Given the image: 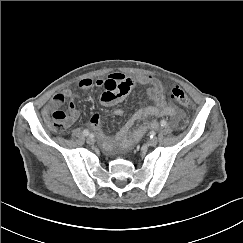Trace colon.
Masks as SVG:
<instances>
[{
	"label": "colon",
	"mask_w": 243,
	"mask_h": 243,
	"mask_svg": "<svg viewBox=\"0 0 243 243\" xmlns=\"http://www.w3.org/2000/svg\"><path fill=\"white\" fill-rule=\"evenodd\" d=\"M169 97L184 109L192 107L191 100L179 86H173L169 89ZM49 114L51 115V127L55 131L63 132L68 128V117L63 110L57 109Z\"/></svg>",
	"instance_id": "5ec220e1"
}]
</instances>
